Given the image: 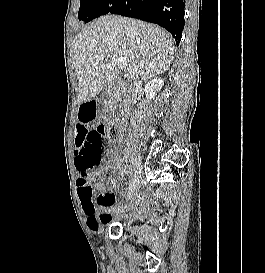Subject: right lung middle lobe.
I'll return each mask as SVG.
<instances>
[{
  "label": "right lung middle lobe",
  "instance_id": "right-lung-middle-lobe-1",
  "mask_svg": "<svg viewBox=\"0 0 265 273\" xmlns=\"http://www.w3.org/2000/svg\"><path fill=\"white\" fill-rule=\"evenodd\" d=\"M117 0H80L78 19L89 22L105 15L114 7Z\"/></svg>",
  "mask_w": 265,
  "mask_h": 273
}]
</instances>
